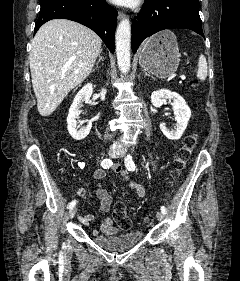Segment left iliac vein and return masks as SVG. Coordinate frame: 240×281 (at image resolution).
I'll return each instance as SVG.
<instances>
[{"label": "left iliac vein", "mask_w": 240, "mask_h": 281, "mask_svg": "<svg viewBox=\"0 0 240 281\" xmlns=\"http://www.w3.org/2000/svg\"><path fill=\"white\" fill-rule=\"evenodd\" d=\"M124 155H125L124 149H120L118 151V153L115 155V158H122V157H124ZM156 217H157L158 221H162L164 218V215L162 212H157Z\"/></svg>", "instance_id": "1"}]
</instances>
